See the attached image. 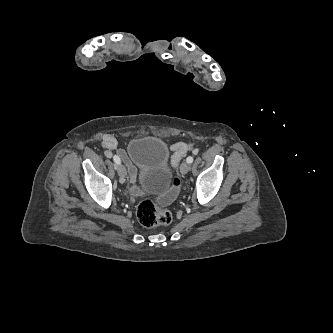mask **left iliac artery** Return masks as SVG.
I'll use <instances>...</instances> for the list:
<instances>
[{
	"instance_id": "44dca946",
	"label": "left iliac artery",
	"mask_w": 333,
	"mask_h": 333,
	"mask_svg": "<svg viewBox=\"0 0 333 333\" xmlns=\"http://www.w3.org/2000/svg\"><path fill=\"white\" fill-rule=\"evenodd\" d=\"M186 161H187V163H192L193 157L192 156L187 157Z\"/></svg>"
}]
</instances>
